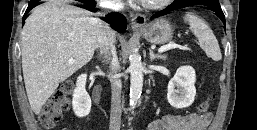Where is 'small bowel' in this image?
Returning a JSON list of instances; mask_svg holds the SVG:
<instances>
[{"label":"small bowel","instance_id":"small-bowel-1","mask_svg":"<svg viewBox=\"0 0 257 130\" xmlns=\"http://www.w3.org/2000/svg\"><path fill=\"white\" fill-rule=\"evenodd\" d=\"M211 117L210 113L202 115L166 114L153 120L149 125V130H205L210 123Z\"/></svg>","mask_w":257,"mask_h":130}]
</instances>
